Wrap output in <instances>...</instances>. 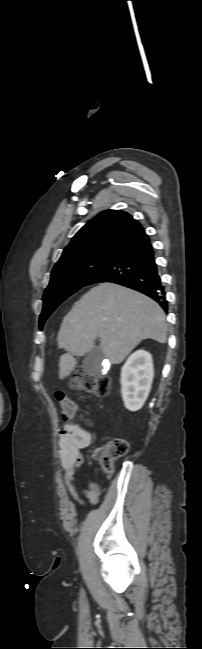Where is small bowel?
Instances as JSON below:
<instances>
[{
    "label": "small bowel",
    "instance_id": "1",
    "mask_svg": "<svg viewBox=\"0 0 202 649\" xmlns=\"http://www.w3.org/2000/svg\"><path fill=\"white\" fill-rule=\"evenodd\" d=\"M86 424L93 427L91 422ZM92 438L89 430L76 424H65L59 432V457L64 470L63 482L71 500L79 507H82L83 503L79 498L74 481L77 480L78 472L84 463L83 450L90 446ZM82 493L89 500V508H92L99 502L102 489L97 483L89 481L82 487Z\"/></svg>",
    "mask_w": 202,
    "mask_h": 649
}]
</instances>
